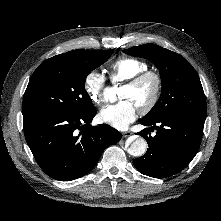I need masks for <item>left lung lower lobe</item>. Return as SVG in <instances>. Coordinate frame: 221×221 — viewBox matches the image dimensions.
<instances>
[{"label":"left lung lower lobe","instance_id":"left-lung-lower-lobe-1","mask_svg":"<svg viewBox=\"0 0 221 221\" xmlns=\"http://www.w3.org/2000/svg\"><path fill=\"white\" fill-rule=\"evenodd\" d=\"M204 122L205 118L186 115L143 118L141 124L151 126L149 130L157 129V132L151 136L145 128L138 133L145 137L149 148L142 157L133 160L135 168L154 178H166L180 172L199 149Z\"/></svg>","mask_w":221,"mask_h":221}]
</instances>
